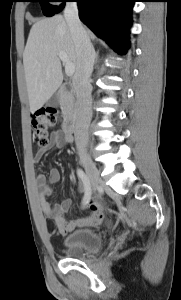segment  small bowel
Wrapping results in <instances>:
<instances>
[{
    "label": "small bowel",
    "mask_w": 181,
    "mask_h": 300,
    "mask_svg": "<svg viewBox=\"0 0 181 300\" xmlns=\"http://www.w3.org/2000/svg\"><path fill=\"white\" fill-rule=\"evenodd\" d=\"M72 143H73V136L71 134L62 130L55 131L51 134L48 145L40 148L36 152L35 161L37 162L40 161L43 158L44 154L53 147L60 148L65 144H72ZM60 179H61L60 172L55 168H51L49 170L48 175L41 173L38 174L36 177V183L40 188L39 197H40L41 209L45 217L54 223L58 232L61 235H66L79 227L95 226L99 224L103 218V215H96L94 213H90L88 215L79 217L72 221L66 220L65 214L70 210L72 206V200L69 198L64 199L60 204H52L49 202L48 198L53 193L52 186L58 183ZM79 190H82L81 186H79ZM84 198H85V194L83 197V201ZM89 202H91L90 199L88 200L87 203Z\"/></svg>",
    "instance_id": "obj_1"
}]
</instances>
